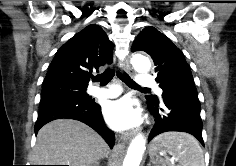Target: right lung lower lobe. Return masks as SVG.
<instances>
[{"instance_id": "98d812e1", "label": "right lung lower lobe", "mask_w": 236, "mask_h": 166, "mask_svg": "<svg viewBox=\"0 0 236 166\" xmlns=\"http://www.w3.org/2000/svg\"><path fill=\"white\" fill-rule=\"evenodd\" d=\"M73 85L68 82L44 84L39 114L34 126L35 133L46 123L68 118L79 120L92 127L103 136L112 148L115 143L114 133L104 123L100 105L94 100L83 101L72 95Z\"/></svg>"}]
</instances>
